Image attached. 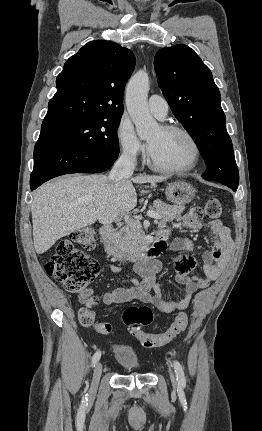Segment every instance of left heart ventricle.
I'll list each match as a JSON object with an SVG mask.
<instances>
[{
	"label": "left heart ventricle",
	"mask_w": 262,
	"mask_h": 431,
	"mask_svg": "<svg viewBox=\"0 0 262 431\" xmlns=\"http://www.w3.org/2000/svg\"><path fill=\"white\" fill-rule=\"evenodd\" d=\"M151 145V155L160 165L167 167L185 166L190 161L192 147L189 140L181 133L166 132L160 127L147 137Z\"/></svg>",
	"instance_id": "b2bd125f"
}]
</instances>
